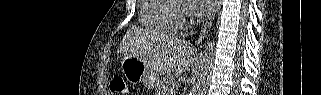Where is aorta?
<instances>
[{
  "label": "aorta",
  "mask_w": 321,
  "mask_h": 95,
  "mask_svg": "<svg viewBox=\"0 0 321 95\" xmlns=\"http://www.w3.org/2000/svg\"><path fill=\"white\" fill-rule=\"evenodd\" d=\"M214 42H210L200 54L194 73V80L190 95H205L211 79V70L214 61Z\"/></svg>",
  "instance_id": "1"
}]
</instances>
